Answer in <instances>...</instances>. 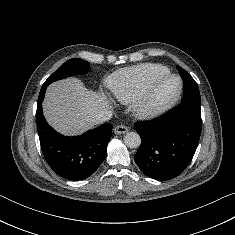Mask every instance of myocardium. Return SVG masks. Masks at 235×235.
Wrapping results in <instances>:
<instances>
[{"label": "myocardium", "mask_w": 235, "mask_h": 235, "mask_svg": "<svg viewBox=\"0 0 235 235\" xmlns=\"http://www.w3.org/2000/svg\"><path fill=\"white\" fill-rule=\"evenodd\" d=\"M167 79H174L177 81L178 88L176 93L169 100L160 104H154L151 100L154 88L158 83ZM182 90H183V83L178 75L169 72L158 75L152 78L148 82L144 91L134 101L133 103L134 111L141 118H152L161 115L166 111H168L169 109H171L176 104V102L179 100L182 94Z\"/></svg>", "instance_id": "myocardium-1"}]
</instances>
